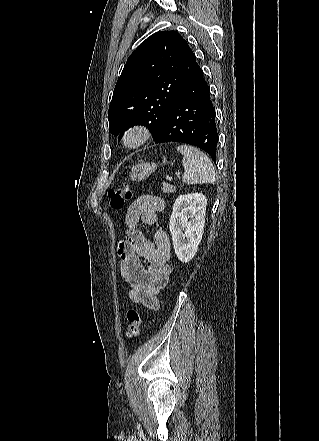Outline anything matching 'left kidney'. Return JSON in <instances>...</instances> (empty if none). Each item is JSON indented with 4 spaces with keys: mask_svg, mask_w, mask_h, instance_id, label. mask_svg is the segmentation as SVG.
<instances>
[{
    "mask_svg": "<svg viewBox=\"0 0 319 441\" xmlns=\"http://www.w3.org/2000/svg\"><path fill=\"white\" fill-rule=\"evenodd\" d=\"M207 199L203 194L180 195L173 205L169 229L173 246L181 262H189L202 239Z\"/></svg>",
    "mask_w": 319,
    "mask_h": 441,
    "instance_id": "left-kidney-1",
    "label": "left kidney"
}]
</instances>
